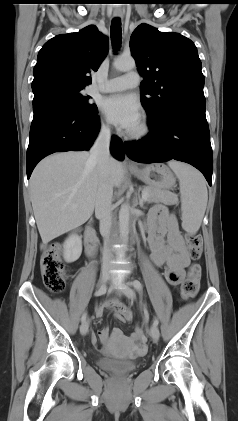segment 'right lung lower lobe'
<instances>
[{"label":"right lung lower lobe","instance_id":"obj_1","mask_svg":"<svg viewBox=\"0 0 238 421\" xmlns=\"http://www.w3.org/2000/svg\"><path fill=\"white\" fill-rule=\"evenodd\" d=\"M33 112L26 155L28 179L37 163L47 155L89 149L100 129L98 112L82 113L57 96L33 99ZM110 150L116 159H124L122 141L117 136L112 137Z\"/></svg>","mask_w":238,"mask_h":421}]
</instances>
